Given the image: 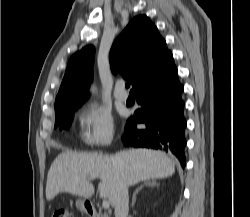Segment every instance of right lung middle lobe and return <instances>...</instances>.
<instances>
[{
	"instance_id": "obj_1",
	"label": "right lung middle lobe",
	"mask_w": 250,
	"mask_h": 217,
	"mask_svg": "<svg viewBox=\"0 0 250 217\" xmlns=\"http://www.w3.org/2000/svg\"><path fill=\"white\" fill-rule=\"evenodd\" d=\"M75 110H72L70 112H66L63 114H60L55 117V128L60 127V130L63 128L69 129L71 126L72 120H73V112Z\"/></svg>"
}]
</instances>
